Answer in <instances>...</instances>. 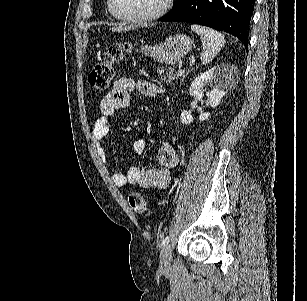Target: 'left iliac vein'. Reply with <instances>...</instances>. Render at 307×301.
Returning a JSON list of instances; mask_svg holds the SVG:
<instances>
[{"label": "left iliac vein", "mask_w": 307, "mask_h": 301, "mask_svg": "<svg viewBox=\"0 0 307 301\" xmlns=\"http://www.w3.org/2000/svg\"><path fill=\"white\" fill-rule=\"evenodd\" d=\"M171 257L172 252L170 245H166L165 247H163L160 253V266L164 269H168L171 266Z\"/></svg>", "instance_id": "1"}]
</instances>
